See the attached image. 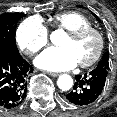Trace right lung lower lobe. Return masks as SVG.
<instances>
[{
  "instance_id": "right-lung-lower-lobe-1",
  "label": "right lung lower lobe",
  "mask_w": 117,
  "mask_h": 117,
  "mask_svg": "<svg viewBox=\"0 0 117 117\" xmlns=\"http://www.w3.org/2000/svg\"><path fill=\"white\" fill-rule=\"evenodd\" d=\"M32 71L18 50L0 49V109L10 110L24 101Z\"/></svg>"
}]
</instances>
